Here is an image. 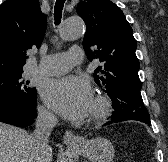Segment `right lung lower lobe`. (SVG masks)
I'll use <instances>...</instances> for the list:
<instances>
[{
	"label": "right lung lower lobe",
	"mask_w": 168,
	"mask_h": 162,
	"mask_svg": "<svg viewBox=\"0 0 168 162\" xmlns=\"http://www.w3.org/2000/svg\"><path fill=\"white\" fill-rule=\"evenodd\" d=\"M37 99L30 103L0 99V122L18 127L29 126L35 118Z\"/></svg>",
	"instance_id": "right-lung-lower-lobe-1"
}]
</instances>
